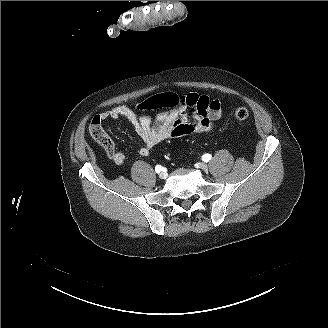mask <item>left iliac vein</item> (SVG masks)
<instances>
[{"instance_id": "obj_1", "label": "left iliac vein", "mask_w": 328, "mask_h": 328, "mask_svg": "<svg viewBox=\"0 0 328 328\" xmlns=\"http://www.w3.org/2000/svg\"><path fill=\"white\" fill-rule=\"evenodd\" d=\"M196 166L199 167L204 172L208 171V166L204 163H197Z\"/></svg>"}]
</instances>
